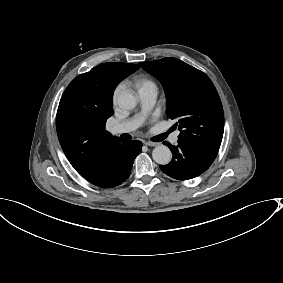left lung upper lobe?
Instances as JSON below:
<instances>
[{
    "label": "left lung upper lobe",
    "instance_id": "left-lung-upper-lobe-1",
    "mask_svg": "<svg viewBox=\"0 0 283 283\" xmlns=\"http://www.w3.org/2000/svg\"><path fill=\"white\" fill-rule=\"evenodd\" d=\"M139 64L162 83L166 115L179 122L178 140L218 151L224 131V113L209 77L172 57Z\"/></svg>",
    "mask_w": 283,
    "mask_h": 283
}]
</instances>
